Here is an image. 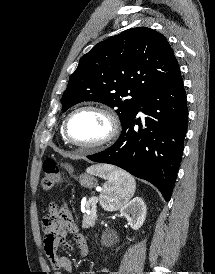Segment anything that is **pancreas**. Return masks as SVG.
<instances>
[{
    "instance_id": "cf45deb5",
    "label": "pancreas",
    "mask_w": 215,
    "mask_h": 274,
    "mask_svg": "<svg viewBox=\"0 0 215 274\" xmlns=\"http://www.w3.org/2000/svg\"><path fill=\"white\" fill-rule=\"evenodd\" d=\"M96 203L92 198H90L86 204V208L89 209L91 211V214L90 215H85V221H84V225L87 227V226H90L92 224H94L95 222V219H96V215H95V212H96Z\"/></svg>"
}]
</instances>
